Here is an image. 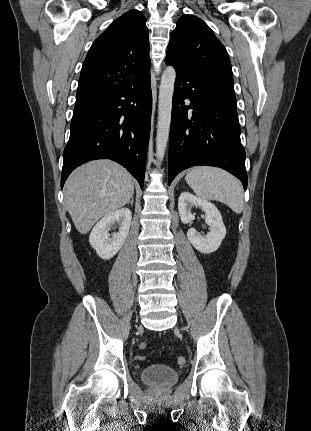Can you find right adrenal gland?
I'll return each mask as SVG.
<instances>
[{
	"mask_svg": "<svg viewBox=\"0 0 311 431\" xmlns=\"http://www.w3.org/2000/svg\"><path fill=\"white\" fill-rule=\"evenodd\" d=\"M134 198H131V202H129L130 206H133Z\"/></svg>",
	"mask_w": 311,
	"mask_h": 431,
	"instance_id": "1",
	"label": "right adrenal gland"
}]
</instances>
